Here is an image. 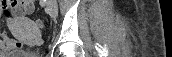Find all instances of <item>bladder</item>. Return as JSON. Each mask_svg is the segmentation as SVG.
Listing matches in <instances>:
<instances>
[{
	"label": "bladder",
	"mask_w": 172,
	"mask_h": 57,
	"mask_svg": "<svg viewBox=\"0 0 172 57\" xmlns=\"http://www.w3.org/2000/svg\"><path fill=\"white\" fill-rule=\"evenodd\" d=\"M2 57H24L21 54L17 53V54H6V55H2Z\"/></svg>",
	"instance_id": "obj_1"
}]
</instances>
